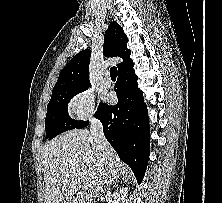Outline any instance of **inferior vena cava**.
Returning <instances> with one entry per match:
<instances>
[{
	"instance_id": "1",
	"label": "inferior vena cava",
	"mask_w": 222,
	"mask_h": 203,
	"mask_svg": "<svg viewBox=\"0 0 222 203\" xmlns=\"http://www.w3.org/2000/svg\"><path fill=\"white\" fill-rule=\"evenodd\" d=\"M90 132L95 140L97 148L100 150V152L102 154L103 159L107 160L109 158L111 146L104 136L103 126H102V123L100 122V120L94 118L91 121ZM106 189L108 190L107 192H109V190H110V182L109 181H106L103 184L102 193L103 192L105 193L104 190H106Z\"/></svg>"
}]
</instances>
